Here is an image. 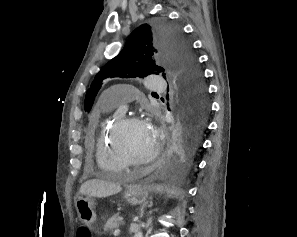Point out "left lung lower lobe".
Wrapping results in <instances>:
<instances>
[{
  "label": "left lung lower lobe",
  "mask_w": 297,
  "mask_h": 237,
  "mask_svg": "<svg viewBox=\"0 0 297 237\" xmlns=\"http://www.w3.org/2000/svg\"><path fill=\"white\" fill-rule=\"evenodd\" d=\"M176 107L182 119V128L173 135L169 166L185 163L195 154L200 146L209 112L208 104L198 105L180 92L177 94Z\"/></svg>",
  "instance_id": "obj_1"
}]
</instances>
